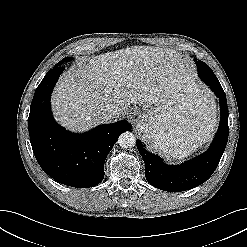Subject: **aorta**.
Returning <instances> with one entry per match:
<instances>
[{
  "label": "aorta",
  "instance_id": "762f6f07",
  "mask_svg": "<svg viewBox=\"0 0 247 247\" xmlns=\"http://www.w3.org/2000/svg\"><path fill=\"white\" fill-rule=\"evenodd\" d=\"M118 144L125 149H129L135 146L136 138L132 132H123L118 138Z\"/></svg>",
  "mask_w": 247,
  "mask_h": 247
}]
</instances>
